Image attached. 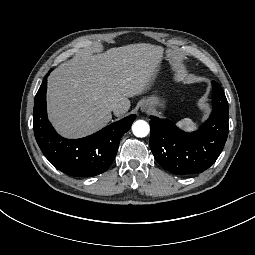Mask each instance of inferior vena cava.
I'll return each instance as SVG.
<instances>
[{"mask_svg":"<svg viewBox=\"0 0 255 255\" xmlns=\"http://www.w3.org/2000/svg\"><path fill=\"white\" fill-rule=\"evenodd\" d=\"M122 108V106H121V104L120 103H118V102H113L112 104H111V110L112 111H116V110H118V109H121Z\"/></svg>","mask_w":255,"mask_h":255,"instance_id":"inferior-vena-cava-1","label":"inferior vena cava"}]
</instances>
